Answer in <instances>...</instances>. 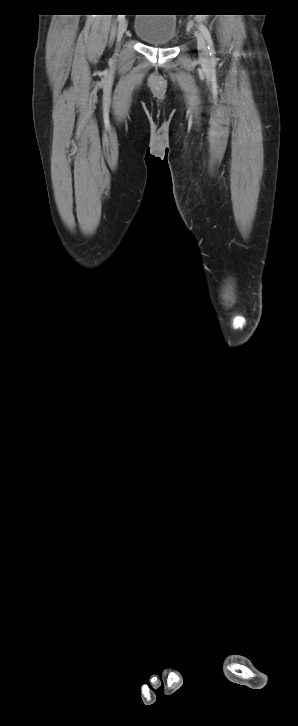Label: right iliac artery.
<instances>
[{"mask_svg":"<svg viewBox=\"0 0 298 726\" xmlns=\"http://www.w3.org/2000/svg\"><path fill=\"white\" fill-rule=\"evenodd\" d=\"M122 19H123V16L122 15L118 16V20L119 21L122 20Z\"/></svg>","mask_w":298,"mask_h":726,"instance_id":"right-iliac-artery-1","label":"right iliac artery"}]
</instances>
